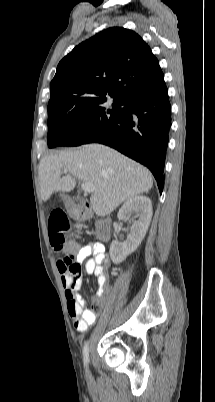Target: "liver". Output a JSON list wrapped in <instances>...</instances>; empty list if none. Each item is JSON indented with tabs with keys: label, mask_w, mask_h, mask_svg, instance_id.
Here are the masks:
<instances>
[{
	"label": "liver",
	"mask_w": 215,
	"mask_h": 402,
	"mask_svg": "<svg viewBox=\"0 0 215 402\" xmlns=\"http://www.w3.org/2000/svg\"><path fill=\"white\" fill-rule=\"evenodd\" d=\"M62 170H66L61 177ZM40 192L47 201L54 192H70L76 179L91 183L90 197L96 215L111 214L122 202L148 192L152 176L145 167L118 151L101 145L88 144L78 150L50 154L39 163Z\"/></svg>",
	"instance_id": "liver-1"
}]
</instances>
